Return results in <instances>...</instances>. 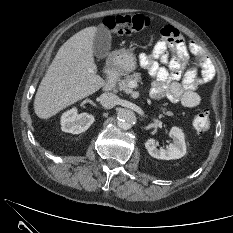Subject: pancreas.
I'll use <instances>...</instances> for the list:
<instances>
[{"label":"pancreas","mask_w":233,"mask_h":233,"mask_svg":"<svg viewBox=\"0 0 233 233\" xmlns=\"http://www.w3.org/2000/svg\"><path fill=\"white\" fill-rule=\"evenodd\" d=\"M132 80H134L136 82H141V74L140 73H133L131 75L125 76L123 79H119L118 84H117V88L120 91L127 92L129 89V82ZM160 109L162 110V112L165 115L173 116V113L171 111H167L166 108L161 107Z\"/></svg>","instance_id":"1"}]
</instances>
